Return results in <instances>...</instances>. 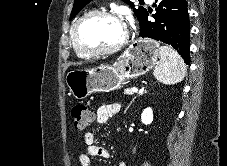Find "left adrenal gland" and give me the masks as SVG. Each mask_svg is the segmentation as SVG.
Here are the masks:
<instances>
[{
    "mask_svg": "<svg viewBox=\"0 0 227 166\" xmlns=\"http://www.w3.org/2000/svg\"><path fill=\"white\" fill-rule=\"evenodd\" d=\"M135 98H136V97H135ZM135 98L132 99V101L130 102L129 106L132 104V102H134V99H135ZM129 106H128V107H129Z\"/></svg>",
    "mask_w": 227,
    "mask_h": 166,
    "instance_id": "1",
    "label": "left adrenal gland"
}]
</instances>
